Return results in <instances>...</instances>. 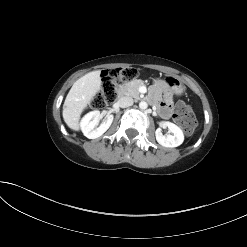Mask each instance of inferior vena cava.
Here are the masks:
<instances>
[{
  "mask_svg": "<svg viewBox=\"0 0 247 247\" xmlns=\"http://www.w3.org/2000/svg\"><path fill=\"white\" fill-rule=\"evenodd\" d=\"M117 103L121 108H126L133 105V98L129 96H123L118 100Z\"/></svg>",
  "mask_w": 247,
  "mask_h": 247,
  "instance_id": "inferior-vena-cava-1",
  "label": "inferior vena cava"
}]
</instances>
